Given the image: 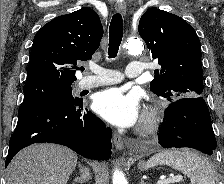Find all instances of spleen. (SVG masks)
<instances>
[{
    "mask_svg": "<svg viewBox=\"0 0 224 184\" xmlns=\"http://www.w3.org/2000/svg\"><path fill=\"white\" fill-rule=\"evenodd\" d=\"M167 165L190 178L191 184H215L214 173L208 160L189 149L167 150L152 156L148 167Z\"/></svg>",
    "mask_w": 224,
    "mask_h": 184,
    "instance_id": "spleen-1",
    "label": "spleen"
}]
</instances>
